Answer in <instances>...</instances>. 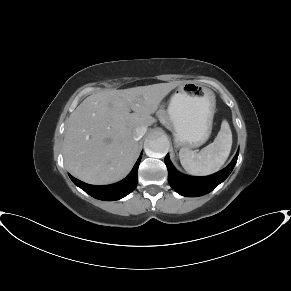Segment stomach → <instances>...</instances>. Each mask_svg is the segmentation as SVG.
Listing matches in <instances>:
<instances>
[{
	"label": "stomach",
	"mask_w": 291,
	"mask_h": 291,
	"mask_svg": "<svg viewBox=\"0 0 291 291\" xmlns=\"http://www.w3.org/2000/svg\"><path fill=\"white\" fill-rule=\"evenodd\" d=\"M215 112L211 89L191 81L179 84L167 109L176 147L192 149L204 144L211 135Z\"/></svg>",
	"instance_id": "stomach-1"
}]
</instances>
